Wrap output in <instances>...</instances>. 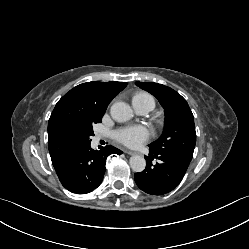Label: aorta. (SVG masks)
I'll return each instance as SVG.
<instances>
[{"label":"aorta","instance_id":"1","mask_svg":"<svg viewBox=\"0 0 249 249\" xmlns=\"http://www.w3.org/2000/svg\"><path fill=\"white\" fill-rule=\"evenodd\" d=\"M110 114L115 121L126 122L131 119L133 110L125 102H115L110 108ZM129 163L134 172H142L146 167L145 158L140 155L132 156Z\"/></svg>","mask_w":249,"mask_h":249}]
</instances>
